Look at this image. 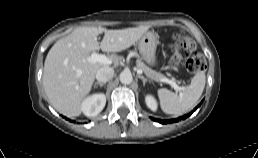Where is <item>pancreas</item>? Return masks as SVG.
Segmentation results:
<instances>
[{
    "label": "pancreas",
    "mask_w": 258,
    "mask_h": 158,
    "mask_svg": "<svg viewBox=\"0 0 258 158\" xmlns=\"http://www.w3.org/2000/svg\"><path fill=\"white\" fill-rule=\"evenodd\" d=\"M130 55L137 57V61H136L137 69L142 70V71L144 72V74H145L148 78H150V79L155 80V81L158 82V81H160V79H161L162 77H164L161 73L156 72V71L152 70L151 68H149L148 66H146V65L142 62V60H141V58L139 57V55L137 54V52L131 51V52H130Z\"/></svg>",
    "instance_id": "pancreas-1"
}]
</instances>
